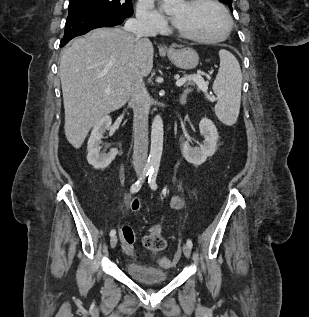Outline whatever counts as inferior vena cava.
<instances>
[{
  "label": "inferior vena cava",
  "instance_id": "inferior-vena-cava-1",
  "mask_svg": "<svg viewBox=\"0 0 309 317\" xmlns=\"http://www.w3.org/2000/svg\"><path fill=\"white\" fill-rule=\"evenodd\" d=\"M124 29L132 32L136 38L155 36L156 29L147 22L137 19H128ZM131 104L134 111V149L133 166L136 171H142L147 163L148 152V115L149 94L145 87L143 77L136 69L133 76Z\"/></svg>",
  "mask_w": 309,
  "mask_h": 317
}]
</instances>
